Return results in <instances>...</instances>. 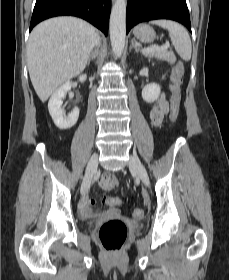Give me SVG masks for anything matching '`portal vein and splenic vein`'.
Returning a JSON list of instances; mask_svg holds the SVG:
<instances>
[{
	"mask_svg": "<svg viewBox=\"0 0 229 280\" xmlns=\"http://www.w3.org/2000/svg\"><path fill=\"white\" fill-rule=\"evenodd\" d=\"M169 47H170V44L168 42H166L162 46H155V47H149V48L143 49L142 53H151V52H154V51L166 50Z\"/></svg>",
	"mask_w": 229,
	"mask_h": 280,
	"instance_id": "obj_1",
	"label": "portal vein and splenic vein"
}]
</instances>
